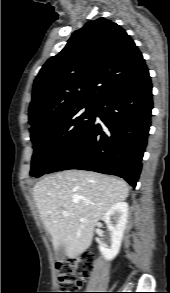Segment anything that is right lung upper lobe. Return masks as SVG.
Returning a JSON list of instances; mask_svg holds the SVG:
<instances>
[{"label": "right lung upper lobe", "mask_w": 170, "mask_h": 293, "mask_svg": "<svg viewBox=\"0 0 170 293\" xmlns=\"http://www.w3.org/2000/svg\"><path fill=\"white\" fill-rule=\"evenodd\" d=\"M147 69L129 35L105 18L75 31L34 81L29 124L38 127L80 105H97L113 88Z\"/></svg>", "instance_id": "right-lung-upper-lobe-1"}]
</instances>
